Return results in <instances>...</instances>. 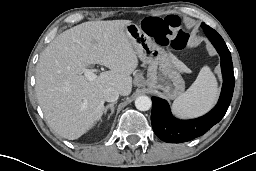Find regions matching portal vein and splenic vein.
I'll use <instances>...</instances> for the list:
<instances>
[{
  "mask_svg": "<svg viewBox=\"0 0 256 171\" xmlns=\"http://www.w3.org/2000/svg\"><path fill=\"white\" fill-rule=\"evenodd\" d=\"M98 71V69H86L83 71V73L88 80H95L97 78Z\"/></svg>",
  "mask_w": 256,
  "mask_h": 171,
  "instance_id": "portal-vein-and-splenic-vein-1",
  "label": "portal vein and splenic vein"
}]
</instances>
